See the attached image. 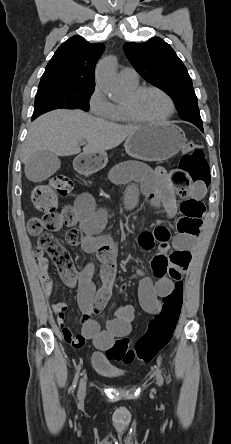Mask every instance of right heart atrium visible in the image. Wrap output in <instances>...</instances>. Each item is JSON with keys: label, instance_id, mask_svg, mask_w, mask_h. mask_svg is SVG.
Segmentation results:
<instances>
[{"label": "right heart atrium", "instance_id": "1", "mask_svg": "<svg viewBox=\"0 0 231 444\" xmlns=\"http://www.w3.org/2000/svg\"><path fill=\"white\" fill-rule=\"evenodd\" d=\"M114 104L108 99L99 85H96L89 97L90 111L102 118H110Z\"/></svg>", "mask_w": 231, "mask_h": 444}]
</instances>
